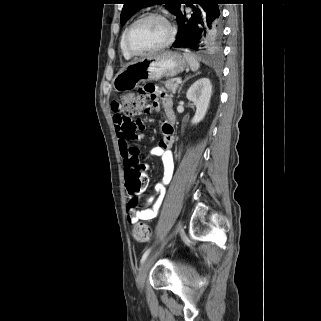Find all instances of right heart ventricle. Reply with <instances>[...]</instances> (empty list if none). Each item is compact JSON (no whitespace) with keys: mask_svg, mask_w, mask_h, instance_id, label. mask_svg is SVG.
Wrapping results in <instances>:
<instances>
[{"mask_svg":"<svg viewBox=\"0 0 321 321\" xmlns=\"http://www.w3.org/2000/svg\"><path fill=\"white\" fill-rule=\"evenodd\" d=\"M123 36H124V33L122 34V37H121V40H120V48H121V52H122L123 57H124L125 59L129 60V59L132 58V56L129 55V54L126 52L125 48H124V45H123Z\"/></svg>","mask_w":321,"mask_h":321,"instance_id":"obj_1","label":"right heart ventricle"}]
</instances>
